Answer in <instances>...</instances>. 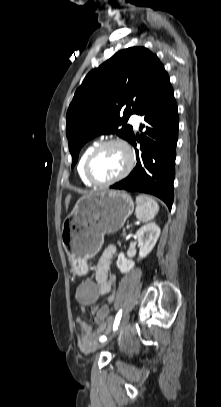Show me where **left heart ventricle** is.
Wrapping results in <instances>:
<instances>
[{
  "label": "left heart ventricle",
  "instance_id": "1",
  "mask_svg": "<svg viewBox=\"0 0 221 407\" xmlns=\"http://www.w3.org/2000/svg\"><path fill=\"white\" fill-rule=\"evenodd\" d=\"M127 154L118 145L103 149L93 160L92 175L100 181H106L119 175L127 165Z\"/></svg>",
  "mask_w": 221,
  "mask_h": 407
}]
</instances>
